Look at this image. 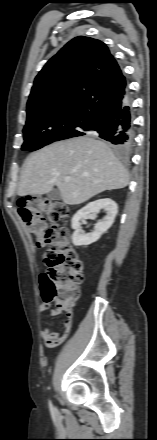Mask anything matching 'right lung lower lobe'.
<instances>
[{"label": "right lung lower lobe", "instance_id": "98d812e1", "mask_svg": "<svg viewBox=\"0 0 157 440\" xmlns=\"http://www.w3.org/2000/svg\"><path fill=\"white\" fill-rule=\"evenodd\" d=\"M85 131H96L99 137L116 145L121 150H129L133 144L134 131L129 95L110 109L95 115L83 125Z\"/></svg>", "mask_w": 157, "mask_h": 440}]
</instances>
